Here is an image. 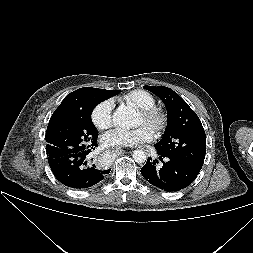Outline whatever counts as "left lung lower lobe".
<instances>
[{"mask_svg": "<svg viewBox=\"0 0 253 253\" xmlns=\"http://www.w3.org/2000/svg\"><path fill=\"white\" fill-rule=\"evenodd\" d=\"M162 165L157 166L158 161L147 159L141 169L144 179L151 185L167 191H179L189 186L197 177L199 172L188 167L174 157L157 152Z\"/></svg>", "mask_w": 253, "mask_h": 253, "instance_id": "obj_1", "label": "left lung lower lobe"}]
</instances>
